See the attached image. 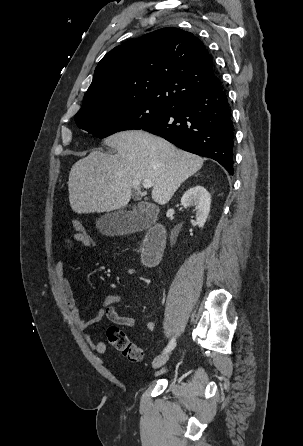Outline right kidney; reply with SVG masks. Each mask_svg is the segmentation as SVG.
<instances>
[{"mask_svg": "<svg viewBox=\"0 0 303 446\" xmlns=\"http://www.w3.org/2000/svg\"><path fill=\"white\" fill-rule=\"evenodd\" d=\"M211 197L209 192L200 185L187 190L181 198L184 208L194 206L196 210V221L199 227H203L210 212Z\"/></svg>", "mask_w": 303, "mask_h": 446, "instance_id": "obj_1", "label": "right kidney"}]
</instances>
